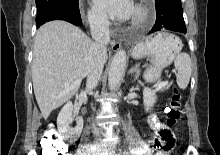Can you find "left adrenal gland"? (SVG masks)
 Masks as SVG:
<instances>
[{
  "mask_svg": "<svg viewBox=\"0 0 220 155\" xmlns=\"http://www.w3.org/2000/svg\"><path fill=\"white\" fill-rule=\"evenodd\" d=\"M132 73H134V77L135 79H137L140 74V68L138 65H135L133 68L130 69L129 74H132Z\"/></svg>",
  "mask_w": 220,
  "mask_h": 155,
  "instance_id": "obj_1",
  "label": "left adrenal gland"
}]
</instances>
